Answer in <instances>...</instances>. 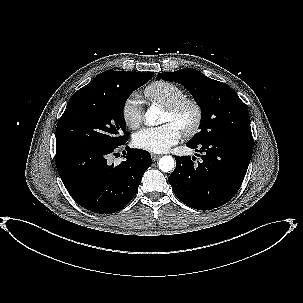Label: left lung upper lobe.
I'll return each mask as SVG.
<instances>
[{"mask_svg":"<svg viewBox=\"0 0 303 303\" xmlns=\"http://www.w3.org/2000/svg\"><path fill=\"white\" fill-rule=\"evenodd\" d=\"M160 79L182 84L201 108L200 132L189 143L230 136L252 137L247 106L227 84L190 68L159 73L157 80Z\"/></svg>","mask_w":303,"mask_h":303,"instance_id":"1","label":"left lung upper lobe"}]
</instances>
